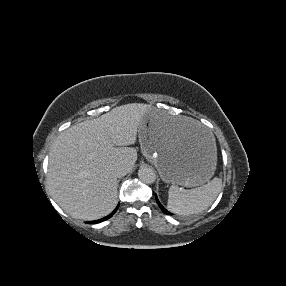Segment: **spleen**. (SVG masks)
Returning a JSON list of instances; mask_svg holds the SVG:
<instances>
[{"mask_svg": "<svg viewBox=\"0 0 286 286\" xmlns=\"http://www.w3.org/2000/svg\"><path fill=\"white\" fill-rule=\"evenodd\" d=\"M221 188L222 180L219 177H215L207 184L191 190L172 185L168 192L167 208L179 215L199 213L214 202Z\"/></svg>", "mask_w": 286, "mask_h": 286, "instance_id": "1", "label": "spleen"}]
</instances>
